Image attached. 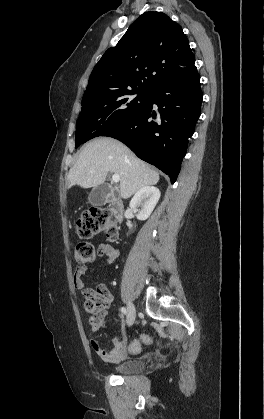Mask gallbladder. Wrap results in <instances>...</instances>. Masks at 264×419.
Masks as SVG:
<instances>
[{
	"mask_svg": "<svg viewBox=\"0 0 264 419\" xmlns=\"http://www.w3.org/2000/svg\"><path fill=\"white\" fill-rule=\"evenodd\" d=\"M109 187L105 184L99 185L92 189L88 196V201L93 206H102L107 202Z\"/></svg>",
	"mask_w": 264,
	"mask_h": 419,
	"instance_id": "gallbladder-1",
	"label": "gallbladder"
}]
</instances>
